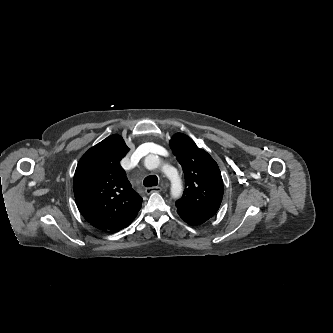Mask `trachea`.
<instances>
[{
    "mask_svg": "<svg viewBox=\"0 0 333 333\" xmlns=\"http://www.w3.org/2000/svg\"><path fill=\"white\" fill-rule=\"evenodd\" d=\"M143 184L145 187H152L158 184V178L155 175L148 176L144 179Z\"/></svg>",
    "mask_w": 333,
    "mask_h": 333,
    "instance_id": "3493384b",
    "label": "trachea"
}]
</instances>
